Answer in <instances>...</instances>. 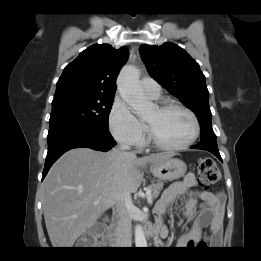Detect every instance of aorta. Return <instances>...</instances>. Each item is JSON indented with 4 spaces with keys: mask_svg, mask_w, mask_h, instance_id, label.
<instances>
[{
    "mask_svg": "<svg viewBox=\"0 0 261 261\" xmlns=\"http://www.w3.org/2000/svg\"><path fill=\"white\" fill-rule=\"evenodd\" d=\"M118 90L122 99L134 110L137 115H142L150 110L152 103L144 96L139 84V70L126 65L120 71L117 80ZM136 248H146L147 241L141 226L135 227Z\"/></svg>",
    "mask_w": 261,
    "mask_h": 261,
    "instance_id": "1",
    "label": "aorta"
}]
</instances>
